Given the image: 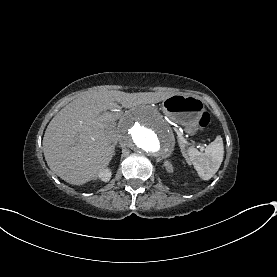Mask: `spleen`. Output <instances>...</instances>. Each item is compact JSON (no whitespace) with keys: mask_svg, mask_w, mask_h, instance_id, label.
Returning a JSON list of instances; mask_svg holds the SVG:
<instances>
[{"mask_svg":"<svg viewBox=\"0 0 277 277\" xmlns=\"http://www.w3.org/2000/svg\"><path fill=\"white\" fill-rule=\"evenodd\" d=\"M188 154L194 168L203 180H209L218 171L224 155L222 137L219 135L205 149L204 153L190 147Z\"/></svg>","mask_w":277,"mask_h":277,"instance_id":"3e777b00","label":"spleen"}]
</instances>
